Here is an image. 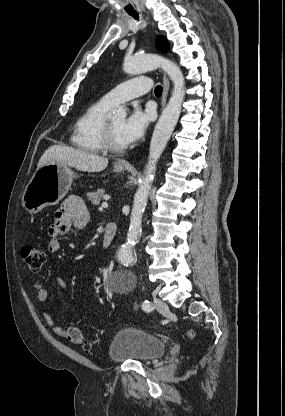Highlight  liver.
Here are the masks:
<instances>
[{
  "mask_svg": "<svg viewBox=\"0 0 285 416\" xmlns=\"http://www.w3.org/2000/svg\"><path fill=\"white\" fill-rule=\"evenodd\" d=\"M49 162H59L71 168H76L80 172H102L108 166V158H101L97 154H90L86 150H76L67 146H51L43 156H41L37 170H40Z\"/></svg>",
  "mask_w": 285,
  "mask_h": 416,
  "instance_id": "6515ba94",
  "label": "liver"
}]
</instances>
